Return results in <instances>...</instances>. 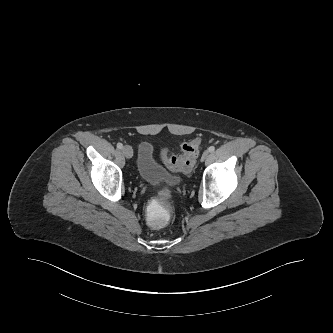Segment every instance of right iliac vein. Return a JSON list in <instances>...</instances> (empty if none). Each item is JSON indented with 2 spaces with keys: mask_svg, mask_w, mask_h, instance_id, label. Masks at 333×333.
I'll use <instances>...</instances> for the list:
<instances>
[{
  "mask_svg": "<svg viewBox=\"0 0 333 333\" xmlns=\"http://www.w3.org/2000/svg\"><path fill=\"white\" fill-rule=\"evenodd\" d=\"M122 152L126 158H131L133 156V150L128 145H126L122 148Z\"/></svg>",
  "mask_w": 333,
  "mask_h": 333,
  "instance_id": "63e3f726",
  "label": "right iliac vein"
}]
</instances>
